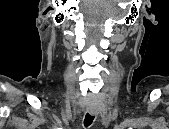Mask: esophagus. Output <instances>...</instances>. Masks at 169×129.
Instances as JSON below:
<instances>
[{
	"label": "esophagus",
	"mask_w": 169,
	"mask_h": 129,
	"mask_svg": "<svg viewBox=\"0 0 169 129\" xmlns=\"http://www.w3.org/2000/svg\"><path fill=\"white\" fill-rule=\"evenodd\" d=\"M87 111H88V113L90 114V115H96V111L94 110V109H92V108H87Z\"/></svg>",
	"instance_id": "esophagus-1"
}]
</instances>
